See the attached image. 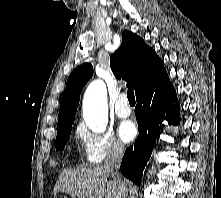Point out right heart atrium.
Masks as SVG:
<instances>
[{
    "mask_svg": "<svg viewBox=\"0 0 221 198\" xmlns=\"http://www.w3.org/2000/svg\"><path fill=\"white\" fill-rule=\"evenodd\" d=\"M77 135L82 145L84 159L90 165L118 160L124 154L121 143L109 132L95 133L80 126Z\"/></svg>",
    "mask_w": 221,
    "mask_h": 198,
    "instance_id": "obj_1",
    "label": "right heart atrium"
}]
</instances>
